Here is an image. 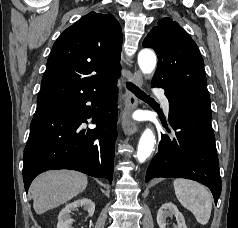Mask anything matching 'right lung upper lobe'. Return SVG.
Listing matches in <instances>:
<instances>
[{
	"label": "right lung upper lobe",
	"mask_w": 238,
	"mask_h": 228,
	"mask_svg": "<svg viewBox=\"0 0 238 228\" xmlns=\"http://www.w3.org/2000/svg\"><path fill=\"white\" fill-rule=\"evenodd\" d=\"M122 31L112 14L90 12L54 43L37 109L106 90L120 76Z\"/></svg>",
	"instance_id": "obj_1"
}]
</instances>
